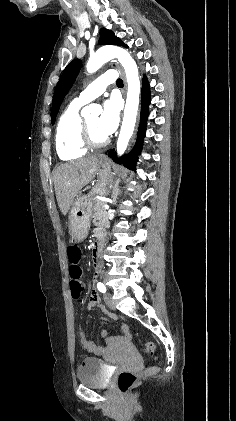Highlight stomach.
Instances as JSON below:
<instances>
[{"instance_id": "1", "label": "stomach", "mask_w": 236, "mask_h": 421, "mask_svg": "<svg viewBox=\"0 0 236 421\" xmlns=\"http://www.w3.org/2000/svg\"><path fill=\"white\" fill-rule=\"evenodd\" d=\"M98 182L93 186L91 194L79 196L73 200L68 217V231L71 241L81 243L86 239L91 219L94 215V200L92 194H108V186L113 182V176L110 168V162L105 156L98 158Z\"/></svg>"}]
</instances>
